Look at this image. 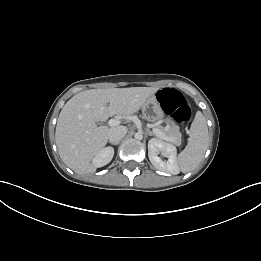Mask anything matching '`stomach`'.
I'll return each instance as SVG.
<instances>
[{
  "mask_svg": "<svg viewBox=\"0 0 261 261\" xmlns=\"http://www.w3.org/2000/svg\"><path fill=\"white\" fill-rule=\"evenodd\" d=\"M142 111L145 118L150 121L160 119L163 116L160 103L154 94L145 102Z\"/></svg>",
  "mask_w": 261,
  "mask_h": 261,
  "instance_id": "0dacf381",
  "label": "stomach"
}]
</instances>
